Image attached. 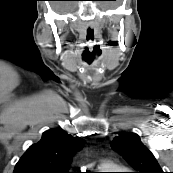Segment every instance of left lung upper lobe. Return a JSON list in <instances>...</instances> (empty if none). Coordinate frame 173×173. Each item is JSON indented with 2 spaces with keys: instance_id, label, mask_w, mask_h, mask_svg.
<instances>
[{
  "instance_id": "5c2ea615",
  "label": "left lung upper lobe",
  "mask_w": 173,
  "mask_h": 173,
  "mask_svg": "<svg viewBox=\"0 0 173 173\" xmlns=\"http://www.w3.org/2000/svg\"><path fill=\"white\" fill-rule=\"evenodd\" d=\"M111 146L138 171L136 173H164L137 134L126 133L118 136L112 141Z\"/></svg>"
}]
</instances>
